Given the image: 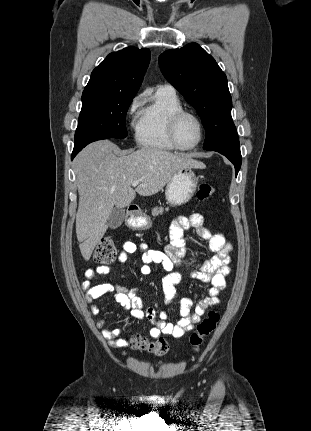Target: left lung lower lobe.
<instances>
[{
    "instance_id": "obj_1",
    "label": "left lung lower lobe",
    "mask_w": 311,
    "mask_h": 431,
    "mask_svg": "<svg viewBox=\"0 0 311 431\" xmlns=\"http://www.w3.org/2000/svg\"><path fill=\"white\" fill-rule=\"evenodd\" d=\"M213 151L221 153L233 163V165L235 166V174L237 176V173L240 170L241 163H242L240 146L222 147V148L214 149Z\"/></svg>"
}]
</instances>
